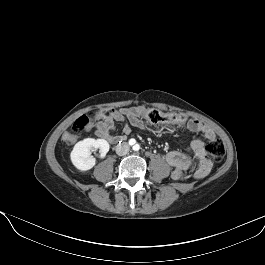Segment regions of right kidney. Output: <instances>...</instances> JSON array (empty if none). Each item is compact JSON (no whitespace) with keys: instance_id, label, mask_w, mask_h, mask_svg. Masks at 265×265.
Segmentation results:
<instances>
[{"instance_id":"right-kidney-1","label":"right kidney","mask_w":265,"mask_h":265,"mask_svg":"<svg viewBox=\"0 0 265 265\" xmlns=\"http://www.w3.org/2000/svg\"><path fill=\"white\" fill-rule=\"evenodd\" d=\"M93 149H99L100 156L105 157L109 151V143L104 139L92 138H86L76 143L70 158L78 170L87 171L95 166V158L91 155Z\"/></svg>"}]
</instances>
